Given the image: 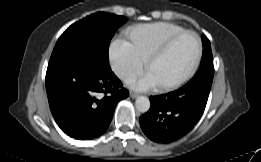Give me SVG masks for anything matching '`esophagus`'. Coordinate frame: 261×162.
I'll list each match as a JSON object with an SVG mask.
<instances>
[{"label": "esophagus", "mask_w": 261, "mask_h": 162, "mask_svg": "<svg viewBox=\"0 0 261 162\" xmlns=\"http://www.w3.org/2000/svg\"><path fill=\"white\" fill-rule=\"evenodd\" d=\"M129 96H130V98H132V99H136V98L138 97V95L135 94V93H130Z\"/></svg>", "instance_id": "obj_1"}]
</instances>
